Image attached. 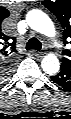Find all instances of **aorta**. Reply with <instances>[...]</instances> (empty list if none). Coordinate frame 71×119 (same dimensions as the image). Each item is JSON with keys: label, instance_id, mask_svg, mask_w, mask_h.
Masks as SVG:
<instances>
[{"label": "aorta", "instance_id": "1", "mask_svg": "<svg viewBox=\"0 0 71 119\" xmlns=\"http://www.w3.org/2000/svg\"><path fill=\"white\" fill-rule=\"evenodd\" d=\"M26 20L27 24L33 30L41 34L47 36H53L55 34V27L52 20L41 10L33 9L29 11ZM41 66L46 74L55 75L59 71L60 63L55 55L49 54L43 58Z\"/></svg>", "mask_w": 71, "mask_h": 119}]
</instances>
